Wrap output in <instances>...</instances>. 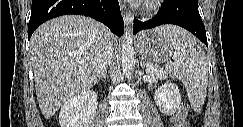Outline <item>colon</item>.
<instances>
[{
	"mask_svg": "<svg viewBox=\"0 0 243 127\" xmlns=\"http://www.w3.org/2000/svg\"><path fill=\"white\" fill-rule=\"evenodd\" d=\"M188 116V110L186 108H181L175 117V127H189V123L186 118Z\"/></svg>",
	"mask_w": 243,
	"mask_h": 127,
	"instance_id": "obj_1",
	"label": "colon"
}]
</instances>
